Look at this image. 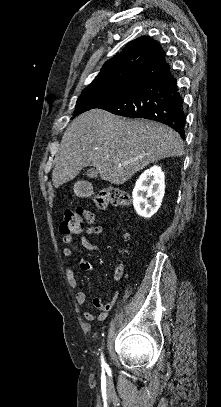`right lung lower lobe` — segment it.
<instances>
[{
    "label": "right lung lower lobe",
    "instance_id": "right-lung-lower-lobe-1",
    "mask_svg": "<svg viewBox=\"0 0 221 407\" xmlns=\"http://www.w3.org/2000/svg\"><path fill=\"white\" fill-rule=\"evenodd\" d=\"M100 109L124 117L158 121L173 128L182 138L185 135L183 99L170 67Z\"/></svg>",
    "mask_w": 221,
    "mask_h": 407
}]
</instances>
